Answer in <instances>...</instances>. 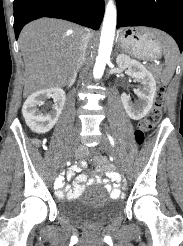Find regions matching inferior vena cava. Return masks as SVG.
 <instances>
[{"label":"inferior vena cava","mask_w":183,"mask_h":246,"mask_svg":"<svg viewBox=\"0 0 183 246\" xmlns=\"http://www.w3.org/2000/svg\"><path fill=\"white\" fill-rule=\"evenodd\" d=\"M89 40H90L89 34H85L82 38L81 47H80V50L77 56V68L80 67L82 63L84 62L86 49L88 47Z\"/></svg>","instance_id":"1"}]
</instances>
